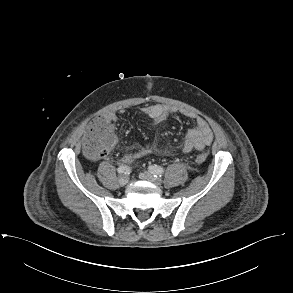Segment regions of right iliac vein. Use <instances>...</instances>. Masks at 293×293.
<instances>
[{
  "instance_id": "63e3f726",
  "label": "right iliac vein",
  "mask_w": 293,
  "mask_h": 293,
  "mask_svg": "<svg viewBox=\"0 0 293 293\" xmlns=\"http://www.w3.org/2000/svg\"><path fill=\"white\" fill-rule=\"evenodd\" d=\"M129 177L127 175H121L118 179V182L121 186H124L128 183Z\"/></svg>"
}]
</instances>
